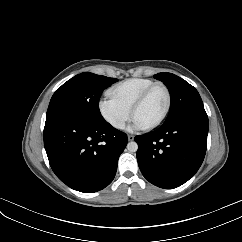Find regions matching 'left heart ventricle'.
I'll return each instance as SVG.
<instances>
[{
	"label": "left heart ventricle",
	"mask_w": 242,
	"mask_h": 242,
	"mask_svg": "<svg viewBox=\"0 0 242 242\" xmlns=\"http://www.w3.org/2000/svg\"><path fill=\"white\" fill-rule=\"evenodd\" d=\"M166 105V95L162 88L154 89L144 103L136 110L134 120L144 127L156 122L162 115Z\"/></svg>",
	"instance_id": "1"
}]
</instances>
